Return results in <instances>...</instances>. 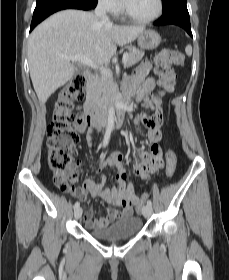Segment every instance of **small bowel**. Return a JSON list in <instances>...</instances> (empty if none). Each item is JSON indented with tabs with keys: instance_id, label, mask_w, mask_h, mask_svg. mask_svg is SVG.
Instances as JSON below:
<instances>
[{
	"instance_id": "1",
	"label": "small bowel",
	"mask_w": 229,
	"mask_h": 280,
	"mask_svg": "<svg viewBox=\"0 0 229 280\" xmlns=\"http://www.w3.org/2000/svg\"><path fill=\"white\" fill-rule=\"evenodd\" d=\"M151 66L149 63H142L139 69L127 77L126 82L123 85L124 93L131 98H138L143 92L151 90L155 86V80L152 77L147 76ZM175 79L168 85L158 82L161 86V90L153 95L152 103L145 105V110L142 113L143 118H151L149 111L156 109L154 115H158L162 119V111L160 110V104L162 98L173 90ZM94 131L89 130L86 132V140L89 146H92ZM161 137V131L159 126L150 128L147 133V139L150 147H154ZM137 152L141 157V161L136 160L132 166L131 173L139 176L142 179H148L150 177V160L151 157L148 154L145 146H138ZM122 155L119 153L110 154L99 165V170L103 172L107 167H116L118 169L117 179L118 184L113 188H107L104 185L106 180V174L103 172L100 183H96L89 178L81 177V168L76 165H71L67 172L72 182H79L80 186L73 188L71 194L82 202H88L90 199L100 198L112 207H121L122 211L118 212L114 208L109 207L105 217L99 219H93V211L87 210L84 213V221L87 228H104L109 226L120 216H132L133 207L127 203L129 199L136 198L135 190L132 184H126L128 179V173L122 166Z\"/></svg>"
}]
</instances>
